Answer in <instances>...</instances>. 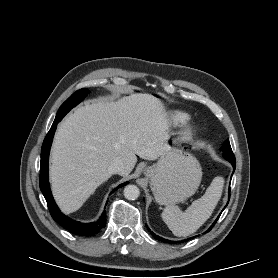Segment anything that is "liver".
Returning <instances> with one entry per match:
<instances>
[{
    "instance_id": "liver-1",
    "label": "liver",
    "mask_w": 278,
    "mask_h": 278,
    "mask_svg": "<svg viewBox=\"0 0 278 278\" xmlns=\"http://www.w3.org/2000/svg\"><path fill=\"white\" fill-rule=\"evenodd\" d=\"M169 138L163 103L151 94L77 108L60 123L52 145L50 181L58 206L67 214L75 212L111 177V162L121 159L119 174L128 176L136 155L156 160Z\"/></svg>"
}]
</instances>
